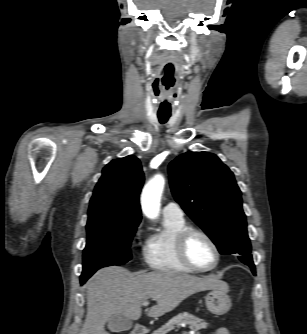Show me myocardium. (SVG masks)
<instances>
[{
  "label": "myocardium",
  "mask_w": 307,
  "mask_h": 334,
  "mask_svg": "<svg viewBox=\"0 0 307 334\" xmlns=\"http://www.w3.org/2000/svg\"><path fill=\"white\" fill-rule=\"evenodd\" d=\"M195 235L203 237L212 246L215 252V257H216L215 262L212 266L207 267V268H201L197 266L191 260L189 256V252H188V244H189L190 239ZM175 245H176V251H177L178 257L181 260V262L188 268L192 269L193 271L210 272L216 269L220 263L221 252H220L219 246L207 232L201 229L193 228V227H186L185 229H183L177 234Z\"/></svg>",
  "instance_id": "myocardium-1"
}]
</instances>
